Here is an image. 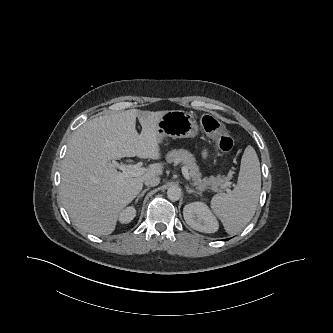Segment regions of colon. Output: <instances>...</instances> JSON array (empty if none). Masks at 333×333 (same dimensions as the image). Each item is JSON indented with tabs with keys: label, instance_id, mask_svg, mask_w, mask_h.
<instances>
[{
	"label": "colon",
	"instance_id": "1",
	"mask_svg": "<svg viewBox=\"0 0 333 333\" xmlns=\"http://www.w3.org/2000/svg\"><path fill=\"white\" fill-rule=\"evenodd\" d=\"M204 130L212 135L218 148L223 152H229L234 146L231 133L213 116L205 115L201 120Z\"/></svg>",
	"mask_w": 333,
	"mask_h": 333
}]
</instances>
